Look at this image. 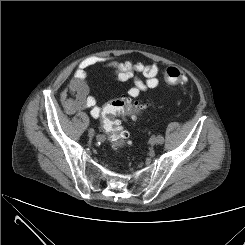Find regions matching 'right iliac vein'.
Segmentation results:
<instances>
[{"mask_svg": "<svg viewBox=\"0 0 245 245\" xmlns=\"http://www.w3.org/2000/svg\"><path fill=\"white\" fill-rule=\"evenodd\" d=\"M88 136H89L90 138H93V137H94V131H93V129H89V131H88Z\"/></svg>", "mask_w": 245, "mask_h": 245, "instance_id": "63e3f726", "label": "right iliac vein"}]
</instances>
